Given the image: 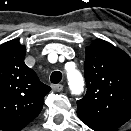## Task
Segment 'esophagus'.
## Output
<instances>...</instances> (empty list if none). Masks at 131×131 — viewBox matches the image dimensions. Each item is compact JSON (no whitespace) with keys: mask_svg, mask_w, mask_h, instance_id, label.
Returning <instances> with one entry per match:
<instances>
[{"mask_svg":"<svg viewBox=\"0 0 131 131\" xmlns=\"http://www.w3.org/2000/svg\"><path fill=\"white\" fill-rule=\"evenodd\" d=\"M52 89H53L54 91L60 92V91H62V89H63V85H62V84H53V85H52Z\"/></svg>","mask_w":131,"mask_h":131,"instance_id":"obj_1","label":"esophagus"}]
</instances>
